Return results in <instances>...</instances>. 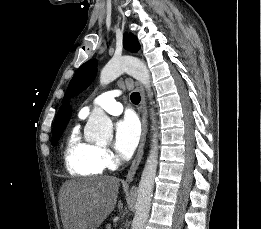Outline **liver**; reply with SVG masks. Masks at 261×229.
<instances>
[{
  "label": "liver",
  "mask_w": 261,
  "mask_h": 229,
  "mask_svg": "<svg viewBox=\"0 0 261 229\" xmlns=\"http://www.w3.org/2000/svg\"><path fill=\"white\" fill-rule=\"evenodd\" d=\"M120 179L93 177L64 185V225L66 229H97L113 211Z\"/></svg>",
  "instance_id": "6515ba94"
}]
</instances>
